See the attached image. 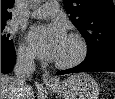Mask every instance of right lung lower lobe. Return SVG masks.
<instances>
[{
    "label": "right lung lower lobe",
    "mask_w": 115,
    "mask_h": 99,
    "mask_svg": "<svg viewBox=\"0 0 115 99\" xmlns=\"http://www.w3.org/2000/svg\"><path fill=\"white\" fill-rule=\"evenodd\" d=\"M16 61L14 47L11 50L1 49V73H10Z\"/></svg>",
    "instance_id": "obj_1"
}]
</instances>
